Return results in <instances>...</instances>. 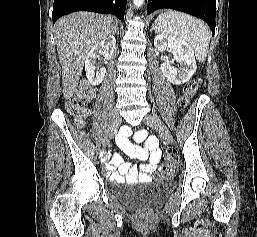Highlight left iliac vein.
<instances>
[{
    "label": "left iliac vein",
    "instance_id": "obj_1",
    "mask_svg": "<svg viewBox=\"0 0 257 237\" xmlns=\"http://www.w3.org/2000/svg\"><path fill=\"white\" fill-rule=\"evenodd\" d=\"M143 121L146 125L156 130L163 140L169 143L172 141V136L170 131L159 118L151 115H147Z\"/></svg>",
    "mask_w": 257,
    "mask_h": 237
}]
</instances>
